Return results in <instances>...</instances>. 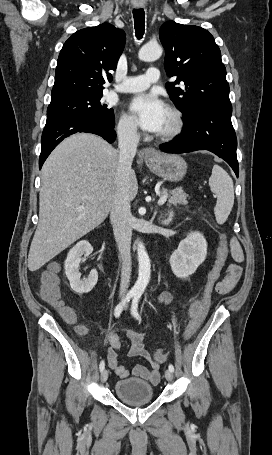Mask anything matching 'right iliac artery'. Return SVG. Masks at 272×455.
I'll use <instances>...</instances> for the list:
<instances>
[{"label":"right iliac artery","instance_id":"1","mask_svg":"<svg viewBox=\"0 0 272 455\" xmlns=\"http://www.w3.org/2000/svg\"><path fill=\"white\" fill-rule=\"evenodd\" d=\"M134 296H135V293H134V292H129V293L126 295V297L123 299V301H122L121 303H119V304L116 306V308H115V310H114V315H115V317L118 318V317L120 316V314H121V312H122L123 307L125 306V304H126L127 302H129V301L131 300V298L134 297ZM104 368H105V362H104V360H102V361L100 362L99 369H100V371L102 372V371L104 370Z\"/></svg>","mask_w":272,"mask_h":455}]
</instances>
